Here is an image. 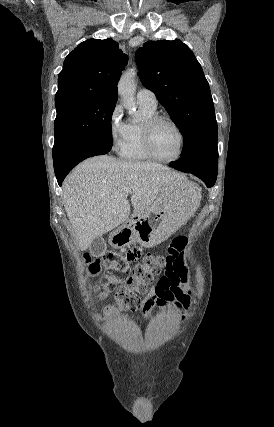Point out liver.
Returning a JSON list of instances; mask_svg holds the SVG:
<instances>
[{"label":"liver","mask_w":274,"mask_h":427,"mask_svg":"<svg viewBox=\"0 0 274 427\" xmlns=\"http://www.w3.org/2000/svg\"><path fill=\"white\" fill-rule=\"evenodd\" d=\"M177 182L185 176L148 162L95 156L76 166L62 186L64 208L73 225L79 249H87L95 237L118 227L130 215L124 190H130L134 214H143L155 202L169 200Z\"/></svg>","instance_id":"obj_1"}]
</instances>
